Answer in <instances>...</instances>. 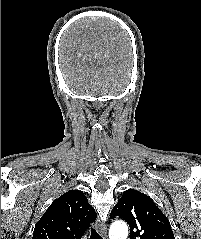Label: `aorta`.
<instances>
[{"mask_svg":"<svg viewBox=\"0 0 201 239\" xmlns=\"http://www.w3.org/2000/svg\"><path fill=\"white\" fill-rule=\"evenodd\" d=\"M128 226L124 221H115L109 230V239H127Z\"/></svg>","mask_w":201,"mask_h":239,"instance_id":"aorta-1","label":"aorta"}]
</instances>
